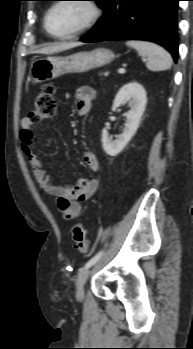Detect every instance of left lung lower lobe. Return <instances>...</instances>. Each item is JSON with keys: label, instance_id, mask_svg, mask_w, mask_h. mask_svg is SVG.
<instances>
[{"label": "left lung lower lobe", "instance_id": "left-lung-lower-lobe-1", "mask_svg": "<svg viewBox=\"0 0 193 349\" xmlns=\"http://www.w3.org/2000/svg\"><path fill=\"white\" fill-rule=\"evenodd\" d=\"M180 0H108L103 18L83 42L146 40L178 58L177 9Z\"/></svg>", "mask_w": 193, "mask_h": 349}]
</instances>
